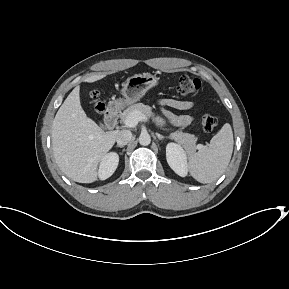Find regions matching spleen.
<instances>
[{
    "label": "spleen",
    "instance_id": "1",
    "mask_svg": "<svg viewBox=\"0 0 289 289\" xmlns=\"http://www.w3.org/2000/svg\"><path fill=\"white\" fill-rule=\"evenodd\" d=\"M233 132L226 123L213 136L210 144L190 156L189 171L198 182L206 184L217 180L226 170L233 152Z\"/></svg>",
    "mask_w": 289,
    "mask_h": 289
}]
</instances>
